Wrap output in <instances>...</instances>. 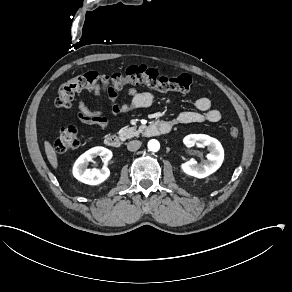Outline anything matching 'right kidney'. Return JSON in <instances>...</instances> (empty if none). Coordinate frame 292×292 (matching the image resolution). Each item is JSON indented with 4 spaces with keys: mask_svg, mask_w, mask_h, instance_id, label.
Instances as JSON below:
<instances>
[{
    "mask_svg": "<svg viewBox=\"0 0 292 292\" xmlns=\"http://www.w3.org/2000/svg\"><path fill=\"white\" fill-rule=\"evenodd\" d=\"M101 156L104 166L101 169H88L87 166L93 158ZM112 151L105 147H94L82 154L74 163L73 175L79 181L89 184L98 185L105 181L110 171L107 168L108 161L112 158Z\"/></svg>",
    "mask_w": 292,
    "mask_h": 292,
    "instance_id": "obj_1",
    "label": "right kidney"
}]
</instances>
